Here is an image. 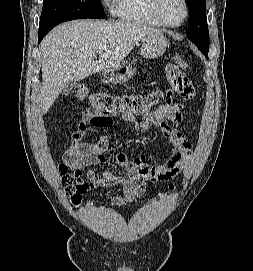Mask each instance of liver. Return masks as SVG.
<instances>
[{
	"mask_svg": "<svg viewBox=\"0 0 253 271\" xmlns=\"http://www.w3.org/2000/svg\"><path fill=\"white\" fill-rule=\"evenodd\" d=\"M154 32L158 30L136 22L91 19L55 27L40 45L41 114L47 113L66 83L119 65L143 37Z\"/></svg>",
	"mask_w": 253,
	"mask_h": 271,
	"instance_id": "6515ba94",
	"label": "liver"
}]
</instances>
